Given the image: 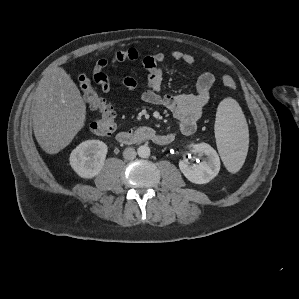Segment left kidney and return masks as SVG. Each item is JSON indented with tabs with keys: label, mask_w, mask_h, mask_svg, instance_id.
Returning <instances> with one entry per match:
<instances>
[{
	"label": "left kidney",
	"mask_w": 299,
	"mask_h": 299,
	"mask_svg": "<svg viewBox=\"0 0 299 299\" xmlns=\"http://www.w3.org/2000/svg\"><path fill=\"white\" fill-rule=\"evenodd\" d=\"M192 147L199 154L205 155L206 159L197 165H190L186 160H181L179 162V168L184 176L192 183L206 184L219 173V156L207 143L194 144Z\"/></svg>",
	"instance_id": "left-kidney-1"
}]
</instances>
